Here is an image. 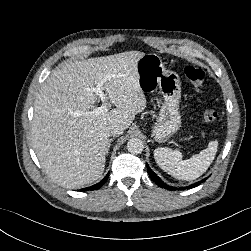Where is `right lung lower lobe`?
<instances>
[{
    "mask_svg": "<svg viewBox=\"0 0 251 251\" xmlns=\"http://www.w3.org/2000/svg\"><path fill=\"white\" fill-rule=\"evenodd\" d=\"M108 177H109V173L99 183H97V184H95L93 186L84 188L83 190L88 191V190H97V189H99L107 181Z\"/></svg>",
    "mask_w": 251,
    "mask_h": 251,
    "instance_id": "98d812e1",
    "label": "right lung lower lobe"
}]
</instances>
